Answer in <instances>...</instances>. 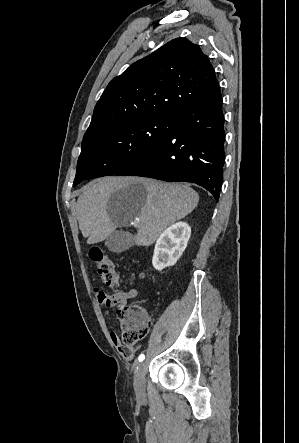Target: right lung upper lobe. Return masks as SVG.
Returning a JSON list of instances; mask_svg holds the SVG:
<instances>
[{"mask_svg":"<svg viewBox=\"0 0 299 443\" xmlns=\"http://www.w3.org/2000/svg\"><path fill=\"white\" fill-rule=\"evenodd\" d=\"M217 84L215 71L199 46L186 38L174 39L111 80L84 138L128 121L171 116Z\"/></svg>","mask_w":299,"mask_h":443,"instance_id":"right-lung-upper-lobe-1","label":"right lung upper lobe"}]
</instances>
